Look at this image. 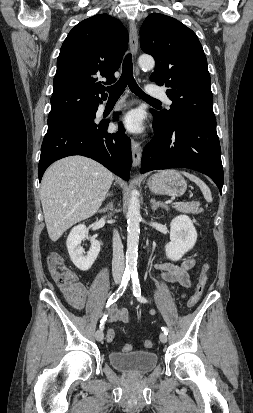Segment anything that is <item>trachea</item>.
Masks as SVG:
<instances>
[{
    "instance_id": "obj_1",
    "label": "trachea",
    "mask_w": 253,
    "mask_h": 413,
    "mask_svg": "<svg viewBox=\"0 0 253 413\" xmlns=\"http://www.w3.org/2000/svg\"><path fill=\"white\" fill-rule=\"evenodd\" d=\"M127 85L129 86L130 90L139 98L149 102L160 103L159 100L145 94L137 85L133 77V64L132 56L130 53L125 56V59L123 61L122 74L119 80L114 85L105 88V90L109 92V98H119L123 94Z\"/></svg>"
}]
</instances>
